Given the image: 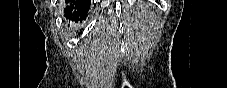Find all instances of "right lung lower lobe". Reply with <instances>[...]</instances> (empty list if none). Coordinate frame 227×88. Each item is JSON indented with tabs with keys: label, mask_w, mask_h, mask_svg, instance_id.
<instances>
[{
	"label": "right lung lower lobe",
	"mask_w": 227,
	"mask_h": 88,
	"mask_svg": "<svg viewBox=\"0 0 227 88\" xmlns=\"http://www.w3.org/2000/svg\"><path fill=\"white\" fill-rule=\"evenodd\" d=\"M64 16L69 20L82 21L87 17L91 0H66Z\"/></svg>",
	"instance_id": "right-lung-lower-lobe-1"
}]
</instances>
